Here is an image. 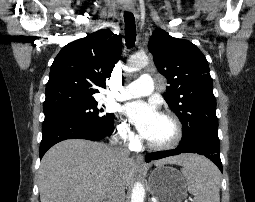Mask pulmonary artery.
Masks as SVG:
<instances>
[{
  "label": "pulmonary artery",
  "mask_w": 255,
  "mask_h": 202,
  "mask_svg": "<svg viewBox=\"0 0 255 202\" xmlns=\"http://www.w3.org/2000/svg\"><path fill=\"white\" fill-rule=\"evenodd\" d=\"M154 82L149 74H142L136 81L125 85L119 92L108 95L110 100H128L136 97L146 96L153 92Z\"/></svg>",
  "instance_id": "obj_1"
}]
</instances>
